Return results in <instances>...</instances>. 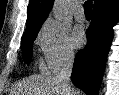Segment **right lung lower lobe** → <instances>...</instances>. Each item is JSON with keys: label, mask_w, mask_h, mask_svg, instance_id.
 Returning <instances> with one entry per match:
<instances>
[{"label": "right lung lower lobe", "mask_w": 119, "mask_h": 95, "mask_svg": "<svg viewBox=\"0 0 119 95\" xmlns=\"http://www.w3.org/2000/svg\"><path fill=\"white\" fill-rule=\"evenodd\" d=\"M118 14L119 0L94 12L86 31L87 45L75 57L71 79L86 95H98Z\"/></svg>", "instance_id": "right-lung-lower-lobe-1"}]
</instances>
